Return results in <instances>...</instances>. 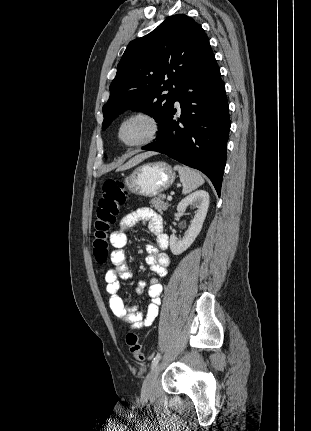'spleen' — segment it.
Masks as SVG:
<instances>
[{"mask_svg":"<svg viewBox=\"0 0 311 431\" xmlns=\"http://www.w3.org/2000/svg\"><path fill=\"white\" fill-rule=\"evenodd\" d=\"M174 170H177L180 176V182L183 186L182 194H190L193 190H197L199 186L204 184V180L200 172L196 170H191V168H186V166H174Z\"/></svg>","mask_w":311,"mask_h":431,"instance_id":"3e777b00","label":"spleen"}]
</instances>
